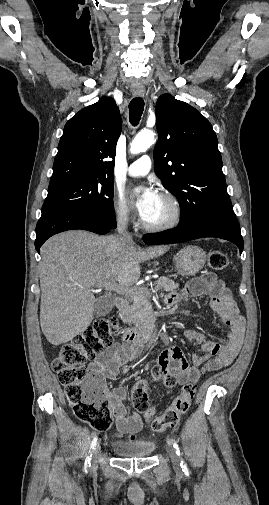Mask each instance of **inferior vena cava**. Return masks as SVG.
Here are the masks:
<instances>
[{
  "instance_id": "602c4592",
  "label": "inferior vena cava",
  "mask_w": 269,
  "mask_h": 505,
  "mask_svg": "<svg viewBox=\"0 0 269 505\" xmlns=\"http://www.w3.org/2000/svg\"><path fill=\"white\" fill-rule=\"evenodd\" d=\"M117 231L123 241L127 243H132V234L127 231V222L124 217H119L117 221Z\"/></svg>"
}]
</instances>
